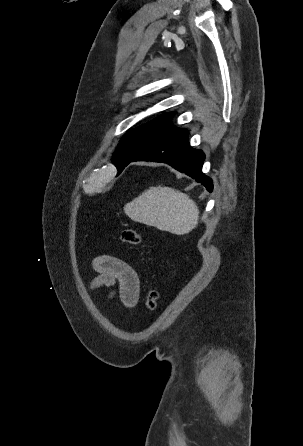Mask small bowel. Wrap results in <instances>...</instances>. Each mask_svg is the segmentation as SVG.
Returning a JSON list of instances; mask_svg holds the SVG:
<instances>
[{"instance_id":"c3829d8e","label":"small bowel","mask_w":303,"mask_h":446,"mask_svg":"<svg viewBox=\"0 0 303 446\" xmlns=\"http://www.w3.org/2000/svg\"><path fill=\"white\" fill-rule=\"evenodd\" d=\"M97 273L93 285L113 287L117 285L121 302L133 307L139 298L140 282L137 272L127 262L112 255H101L94 259Z\"/></svg>"}]
</instances>
